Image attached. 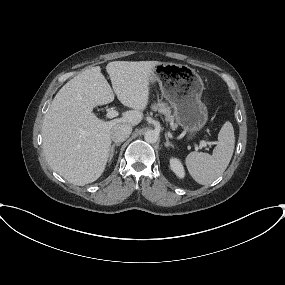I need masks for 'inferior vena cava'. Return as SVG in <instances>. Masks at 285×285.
Here are the masks:
<instances>
[{
	"instance_id": "602c4592",
	"label": "inferior vena cava",
	"mask_w": 285,
	"mask_h": 285,
	"mask_svg": "<svg viewBox=\"0 0 285 285\" xmlns=\"http://www.w3.org/2000/svg\"><path fill=\"white\" fill-rule=\"evenodd\" d=\"M132 127L129 124H117L115 125L110 132L111 139L114 142H123L131 134Z\"/></svg>"
}]
</instances>
